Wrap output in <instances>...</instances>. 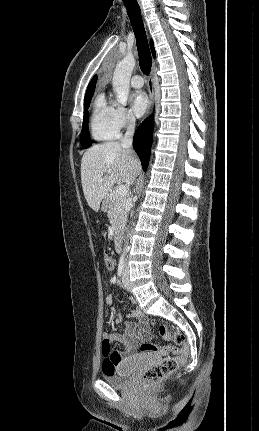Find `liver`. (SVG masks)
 <instances>
[{
	"mask_svg": "<svg viewBox=\"0 0 259 431\" xmlns=\"http://www.w3.org/2000/svg\"><path fill=\"white\" fill-rule=\"evenodd\" d=\"M140 171L137 155L119 143L107 142L92 146L81 160V182L88 205L97 212L115 183L130 186Z\"/></svg>",
	"mask_w": 259,
	"mask_h": 431,
	"instance_id": "6515ba94",
	"label": "liver"
}]
</instances>
